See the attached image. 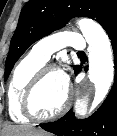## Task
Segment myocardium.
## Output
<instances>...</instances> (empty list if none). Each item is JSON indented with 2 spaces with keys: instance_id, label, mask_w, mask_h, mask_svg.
<instances>
[{
  "instance_id": "f54148a6",
  "label": "myocardium",
  "mask_w": 117,
  "mask_h": 136,
  "mask_svg": "<svg viewBox=\"0 0 117 136\" xmlns=\"http://www.w3.org/2000/svg\"><path fill=\"white\" fill-rule=\"evenodd\" d=\"M52 72H61V70L55 65H44L39 69L35 75L32 77L28 83L22 97L21 110L25 116L28 118L37 121V122H46L54 120L60 117L65 111L69 108L72 102V91L67 87V93L65 100L62 106L53 114L47 116L38 115L33 108V98L34 94L41 84V82L46 78V76Z\"/></svg>"
}]
</instances>
